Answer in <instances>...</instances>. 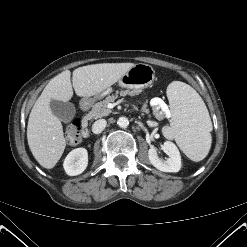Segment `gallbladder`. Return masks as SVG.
Returning a JSON list of instances; mask_svg holds the SVG:
<instances>
[{"label": "gallbladder", "instance_id": "gallbladder-1", "mask_svg": "<svg viewBox=\"0 0 247 247\" xmlns=\"http://www.w3.org/2000/svg\"><path fill=\"white\" fill-rule=\"evenodd\" d=\"M50 108L52 113L62 122H70L75 116V106L70 102L51 100Z\"/></svg>", "mask_w": 247, "mask_h": 247}]
</instances>
